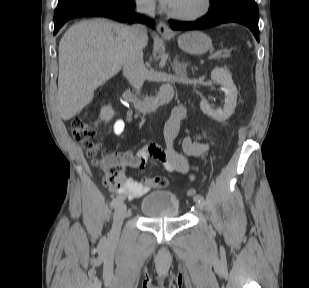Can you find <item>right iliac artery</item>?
<instances>
[{
  "label": "right iliac artery",
  "instance_id": "obj_1",
  "mask_svg": "<svg viewBox=\"0 0 309 288\" xmlns=\"http://www.w3.org/2000/svg\"><path fill=\"white\" fill-rule=\"evenodd\" d=\"M123 195V194H122ZM121 195V196H122ZM121 196H116L115 198H113L112 202H111V207L112 208H115L118 203L122 200V197ZM124 198V197H123Z\"/></svg>",
  "mask_w": 309,
  "mask_h": 288
}]
</instances>
